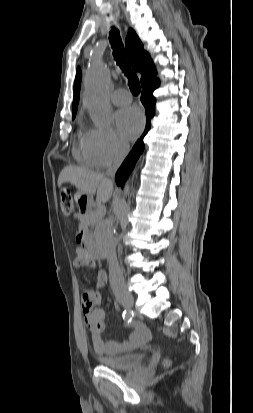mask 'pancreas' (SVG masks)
Segmentation results:
<instances>
[{
    "mask_svg": "<svg viewBox=\"0 0 253 413\" xmlns=\"http://www.w3.org/2000/svg\"><path fill=\"white\" fill-rule=\"evenodd\" d=\"M103 218V212L98 209H89L82 217L80 221V228L87 231L89 228L94 230L101 223Z\"/></svg>",
    "mask_w": 253,
    "mask_h": 413,
    "instance_id": "1",
    "label": "pancreas"
}]
</instances>
